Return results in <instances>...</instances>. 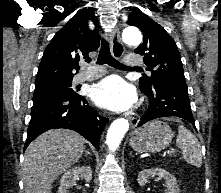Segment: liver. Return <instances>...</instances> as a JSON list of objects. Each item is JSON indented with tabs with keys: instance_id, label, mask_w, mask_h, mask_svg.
Listing matches in <instances>:
<instances>
[{
	"instance_id": "1",
	"label": "liver",
	"mask_w": 221,
	"mask_h": 193,
	"mask_svg": "<svg viewBox=\"0 0 221 193\" xmlns=\"http://www.w3.org/2000/svg\"><path fill=\"white\" fill-rule=\"evenodd\" d=\"M84 138L67 129H51L27 147L22 166L25 193H51L53 182L78 162Z\"/></svg>"
}]
</instances>
